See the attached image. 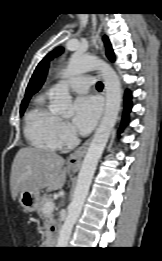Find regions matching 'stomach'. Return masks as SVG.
<instances>
[{
	"instance_id": "0dacf381",
	"label": "stomach",
	"mask_w": 162,
	"mask_h": 261,
	"mask_svg": "<svg viewBox=\"0 0 162 261\" xmlns=\"http://www.w3.org/2000/svg\"><path fill=\"white\" fill-rule=\"evenodd\" d=\"M40 202V193L39 191H23L19 194V203L28 212H33L37 210Z\"/></svg>"
}]
</instances>
